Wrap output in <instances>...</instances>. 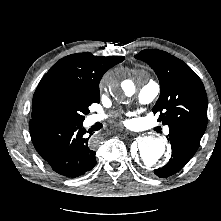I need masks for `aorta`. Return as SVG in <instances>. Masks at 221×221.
<instances>
[{
    "instance_id": "aorta-1",
    "label": "aorta",
    "mask_w": 221,
    "mask_h": 221,
    "mask_svg": "<svg viewBox=\"0 0 221 221\" xmlns=\"http://www.w3.org/2000/svg\"><path fill=\"white\" fill-rule=\"evenodd\" d=\"M121 89L129 97L135 92V87L131 80L121 82ZM165 153L166 144L162 139L147 136L137 141V151L133 153V157L138 164L150 169L164 158Z\"/></svg>"
}]
</instances>
